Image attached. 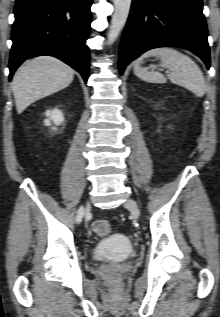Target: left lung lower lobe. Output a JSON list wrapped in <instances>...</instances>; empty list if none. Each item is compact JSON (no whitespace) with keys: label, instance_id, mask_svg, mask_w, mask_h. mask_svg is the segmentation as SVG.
<instances>
[{"label":"left lung lower lobe","instance_id":"0a47b994","mask_svg":"<svg viewBox=\"0 0 220 317\" xmlns=\"http://www.w3.org/2000/svg\"><path fill=\"white\" fill-rule=\"evenodd\" d=\"M202 0H133L120 45L119 71L143 52L165 46L184 47L210 68Z\"/></svg>","mask_w":220,"mask_h":317}]
</instances>
